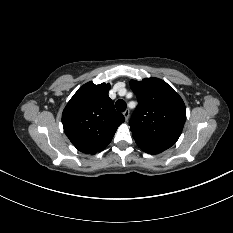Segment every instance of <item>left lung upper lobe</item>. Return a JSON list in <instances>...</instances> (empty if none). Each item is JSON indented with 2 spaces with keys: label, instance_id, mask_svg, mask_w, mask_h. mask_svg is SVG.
Instances as JSON below:
<instances>
[{
  "label": "left lung upper lobe",
  "instance_id": "obj_1",
  "mask_svg": "<svg viewBox=\"0 0 233 233\" xmlns=\"http://www.w3.org/2000/svg\"><path fill=\"white\" fill-rule=\"evenodd\" d=\"M130 85L138 98V106L129 122L136 143H176L186 120L181 97L158 78L131 80Z\"/></svg>",
  "mask_w": 233,
  "mask_h": 233
}]
</instances>
